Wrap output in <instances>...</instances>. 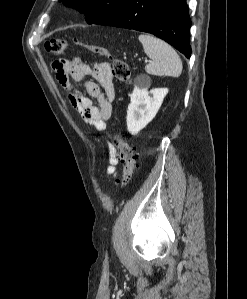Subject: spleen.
<instances>
[{
    "instance_id": "1",
    "label": "spleen",
    "mask_w": 247,
    "mask_h": 299,
    "mask_svg": "<svg viewBox=\"0 0 247 299\" xmlns=\"http://www.w3.org/2000/svg\"><path fill=\"white\" fill-rule=\"evenodd\" d=\"M144 52L152 60L146 65L148 74L179 77L182 73V61L177 52L165 41L151 35H139Z\"/></svg>"
}]
</instances>
